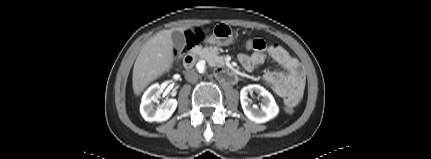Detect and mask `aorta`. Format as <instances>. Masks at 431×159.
Masks as SVG:
<instances>
[{"label": "aorta", "instance_id": "762f6f07", "mask_svg": "<svg viewBox=\"0 0 431 159\" xmlns=\"http://www.w3.org/2000/svg\"><path fill=\"white\" fill-rule=\"evenodd\" d=\"M196 68L202 74H205L207 72V65L203 62H198Z\"/></svg>", "mask_w": 431, "mask_h": 159}]
</instances>
